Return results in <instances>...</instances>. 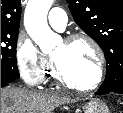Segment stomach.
I'll use <instances>...</instances> for the list:
<instances>
[{"label":"stomach","mask_w":123,"mask_h":113,"mask_svg":"<svg viewBox=\"0 0 123 113\" xmlns=\"http://www.w3.org/2000/svg\"><path fill=\"white\" fill-rule=\"evenodd\" d=\"M84 113H109L106 103L100 99H91L83 106Z\"/></svg>","instance_id":"stomach-1"}]
</instances>
